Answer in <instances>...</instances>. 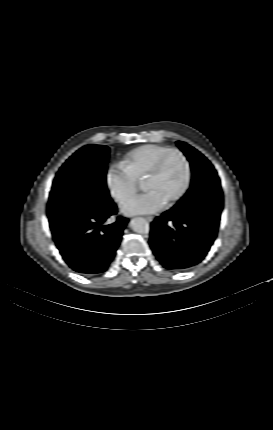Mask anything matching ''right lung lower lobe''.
Listing matches in <instances>:
<instances>
[{"mask_svg":"<svg viewBox=\"0 0 273 430\" xmlns=\"http://www.w3.org/2000/svg\"><path fill=\"white\" fill-rule=\"evenodd\" d=\"M117 213L109 207L71 216L50 224L52 236L65 262L85 276L103 273L115 257L127 219L118 218L110 225L104 222Z\"/></svg>","mask_w":273,"mask_h":430,"instance_id":"right-lung-lower-lobe-1","label":"right lung lower lobe"}]
</instances>
